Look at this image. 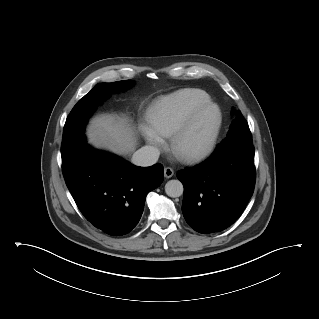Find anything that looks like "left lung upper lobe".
<instances>
[{"label":"left lung upper lobe","instance_id":"left-lung-upper-lobe-1","mask_svg":"<svg viewBox=\"0 0 319 319\" xmlns=\"http://www.w3.org/2000/svg\"><path fill=\"white\" fill-rule=\"evenodd\" d=\"M236 115L237 117L230 125L227 137L222 140L220 145H225L230 141H244L252 143L251 132L246 120L244 119L240 111L236 112Z\"/></svg>","mask_w":319,"mask_h":319}]
</instances>
